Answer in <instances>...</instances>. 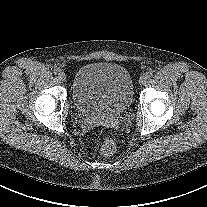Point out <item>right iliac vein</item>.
<instances>
[{
  "label": "right iliac vein",
  "mask_w": 207,
  "mask_h": 207,
  "mask_svg": "<svg viewBox=\"0 0 207 207\" xmlns=\"http://www.w3.org/2000/svg\"><path fill=\"white\" fill-rule=\"evenodd\" d=\"M58 78L61 80V81H66V74L62 71H60L58 73Z\"/></svg>",
  "instance_id": "right-iliac-vein-1"
}]
</instances>
